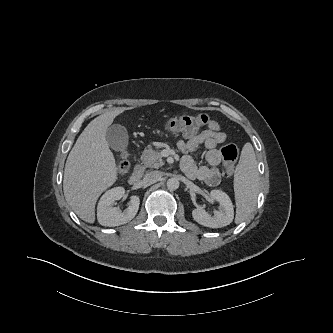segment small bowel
<instances>
[{"label":"small bowel","instance_id":"small-bowel-1","mask_svg":"<svg viewBox=\"0 0 333 333\" xmlns=\"http://www.w3.org/2000/svg\"><path fill=\"white\" fill-rule=\"evenodd\" d=\"M226 140V134L221 130L218 122L212 120L207 128L199 134L191 135L186 140H179L177 146L183 153L181 167L184 173L192 178L198 179L208 186H217L221 181V173L218 166L221 162V153L217 146ZM204 145L208 152L206 160L208 166H199L194 157V152Z\"/></svg>","mask_w":333,"mask_h":333}]
</instances>
